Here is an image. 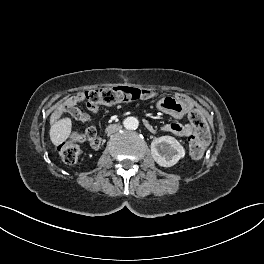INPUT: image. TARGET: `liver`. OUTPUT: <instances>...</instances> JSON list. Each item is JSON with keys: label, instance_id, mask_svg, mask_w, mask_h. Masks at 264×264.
Instances as JSON below:
<instances>
[{"label": "liver", "instance_id": "obj_1", "mask_svg": "<svg viewBox=\"0 0 264 264\" xmlns=\"http://www.w3.org/2000/svg\"><path fill=\"white\" fill-rule=\"evenodd\" d=\"M70 132L71 120L69 118H63L51 124L49 135L52 143L57 146L69 137Z\"/></svg>", "mask_w": 264, "mask_h": 264}]
</instances>
